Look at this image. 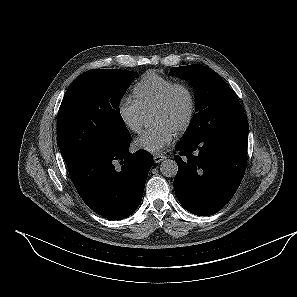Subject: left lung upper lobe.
Returning <instances> with one entry per match:
<instances>
[{
	"instance_id": "left-lung-upper-lobe-1",
	"label": "left lung upper lobe",
	"mask_w": 297,
	"mask_h": 297,
	"mask_svg": "<svg viewBox=\"0 0 297 297\" xmlns=\"http://www.w3.org/2000/svg\"><path fill=\"white\" fill-rule=\"evenodd\" d=\"M170 75L189 80L196 98V114L183 140L245 117L234 91L212 69L202 65L173 67Z\"/></svg>"
}]
</instances>
